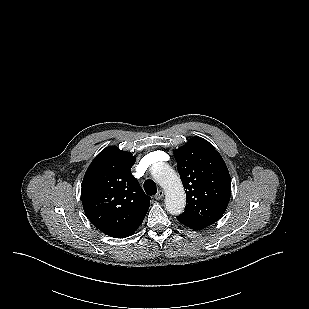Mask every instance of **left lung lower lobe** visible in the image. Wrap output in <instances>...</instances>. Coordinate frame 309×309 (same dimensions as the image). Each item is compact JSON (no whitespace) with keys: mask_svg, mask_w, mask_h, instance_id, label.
<instances>
[{"mask_svg":"<svg viewBox=\"0 0 309 309\" xmlns=\"http://www.w3.org/2000/svg\"><path fill=\"white\" fill-rule=\"evenodd\" d=\"M177 220L179 222H181L183 225H185V226H187V227H189L191 229H194V230H200V229H204L205 227H207V226H205L203 224L193 222V221H191L189 219L180 218L178 216H177Z\"/></svg>","mask_w":309,"mask_h":309,"instance_id":"obj_1","label":"left lung lower lobe"}]
</instances>
